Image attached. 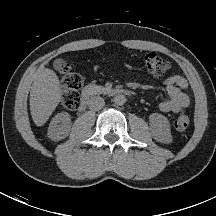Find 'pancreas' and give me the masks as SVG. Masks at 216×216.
<instances>
[{
	"label": "pancreas",
	"mask_w": 216,
	"mask_h": 216,
	"mask_svg": "<svg viewBox=\"0 0 216 216\" xmlns=\"http://www.w3.org/2000/svg\"><path fill=\"white\" fill-rule=\"evenodd\" d=\"M89 87L92 89V92L94 94H102L109 92V90L103 86L90 85Z\"/></svg>",
	"instance_id": "1"
}]
</instances>
